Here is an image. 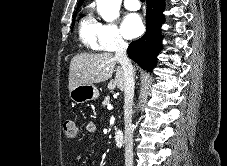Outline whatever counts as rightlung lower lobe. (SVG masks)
<instances>
[{
	"label": "right lung lower lobe",
	"mask_w": 227,
	"mask_h": 166,
	"mask_svg": "<svg viewBox=\"0 0 227 166\" xmlns=\"http://www.w3.org/2000/svg\"><path fill=\"white\" fill-rule=\"evenodd\" d=\"M146 33L128 47V55L143 69L152 70L161 50V25L164 23V0H146Z\"/></svg>",
	"instance_id": "1"
}]
</instances>
